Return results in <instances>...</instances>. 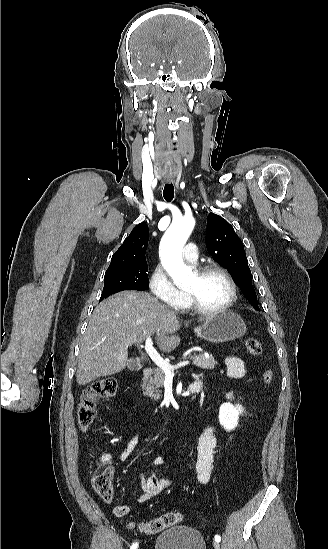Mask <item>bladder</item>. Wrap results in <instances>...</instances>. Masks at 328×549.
<instances>
[{
    "instance_id": "obj_1",
    "label": "bladder",
    "mask_w": 328,
    "mask_h": 549,
    "mask_svg": "<svg viewBox=\"0 0 328 549\" xmlns=\"http://www.w3.org/2000/svg\"><path fill=\"white\" fill-rule=\"evenodd\" d=\"M155 549H205V542L194 528L178 526L158 534Z\"/></svg>"
}]
</instances>
